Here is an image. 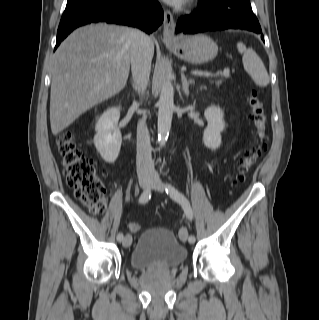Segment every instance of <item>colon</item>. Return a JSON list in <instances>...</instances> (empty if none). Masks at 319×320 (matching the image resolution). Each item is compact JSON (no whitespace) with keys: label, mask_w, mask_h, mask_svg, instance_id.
<instances>
[{"label":"colon","mask_w":319,"mask_h":320,"mask_svg":"<svg viewBox=\"0 0 319 320\" xmlns=\"http://www.w3.org/2000/svg\"><path fill=\"white\" fill-rule=\"evenodd\" d=\"M251 121L255 133L252 148L240 161L234 184L241 183L249 170L261 157L267 146V120L265 108L256 91L249 96ZM57 146L62 159L67 183L74 189V194L92 213L101 214L106 207V189L98 177L93 161L88 158L74 143L70 132H62L57 136ZM132 232H139L140 225L129 224Z\"/></svg>","instance_id":"obj_1"}]
</instances>
